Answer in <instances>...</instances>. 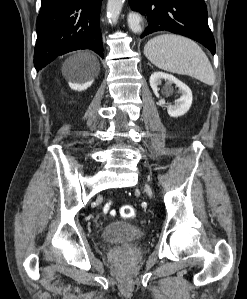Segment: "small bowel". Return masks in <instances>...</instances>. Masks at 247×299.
<instances>
[{"mask_svg": "<svg viewBox=\"0 0 247 299\" xmlns=\"http://www.w3.org/2000/svg\"><path fill=\"white\" fill-rule=\"evenodd\" d=\"M110 203H107L104 207V212H107L109 210ZM112 214H115V211H111Z\"/></svg>", "mask_w": 247, "mask_h": 299, "instance_id": "c3829d8e", "label": "small bowel"}]
</instances>
